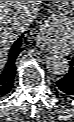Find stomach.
<instances>
[{"label":"stomach","instance_id":"1","mask_svg":"<svg viewBox=\"0 0 74 122\" xmlns=\"http://www.w3.org/2000/svg\"><path fill=\"white\" fill-rule=\"evenodd\" d=\"M58 26L59 25L57 24V27ZM53 32H54V35L57 36V37L58 36H63V34H66L67 32L72 33V31L69 29V27H68L67 31H64V29L59 30L58 28H56ZM52 43L55 45L56 44L55 40L52 41Z\"/></svg>","mask_w":74,"mask_h":122}]
</instances>
